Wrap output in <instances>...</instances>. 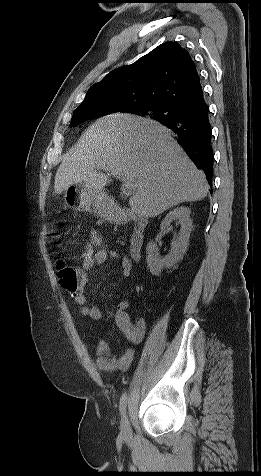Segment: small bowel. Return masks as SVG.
Wrapping results in <instances>:
<instances>
[{
	"instance_id": "1",
	"label": "small bowel",
	"mask_w": 261,
	"mask_h": 476,
	"mask_svg": "<svg viewBox=\"0 0 261 476\" xmlns=\"http://www.w3.org/2000/svg\"><path fill=\"white\" fill-rule=\"evenodd\" d=\"M118 260L121 265V273L128 277L132 273V262L129 258L121 256L117 251L110 249L104 242L103 237L94 229L91 230L90 239L84 245V252L81 254L82 266L78 270L81 276L79 288L70 295L80 306L83 316L92 320H99L102 316L101 310L95 305H89L84 293V286L87 282L88 272L95 266L103 265L107 259ZM130 307L129 299H123L117 306L115 323L122 331L128 343V347L121 355H114L110 346L104 340H97L95 343L96 365L103 371L126 370L131 365L135 347L139 345L144 337L146 325L144 320L133 321L128 313Z\"/></svg>"
}]
</instances>
